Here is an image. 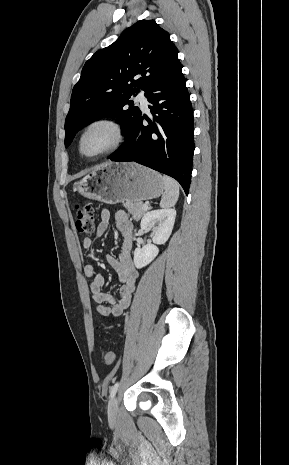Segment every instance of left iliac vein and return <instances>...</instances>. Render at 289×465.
<instances>
[{
	"label": "left iliac vein",
	"instance_id": "1",
	"mask_svg": "<svg viewBox=\"0 0 289 465\" xmlns=\"http://www.w3.org/2000/svg\"><path fill=\"white\" fill-rule=\"evenodd\" d=\"M117 412H118V398L113 397L111 398L108 406V417L111 422H114L117 418Z\"/></svg>",
	"mask_w": 289,
	"mask_h": 465
}]
</instances>
